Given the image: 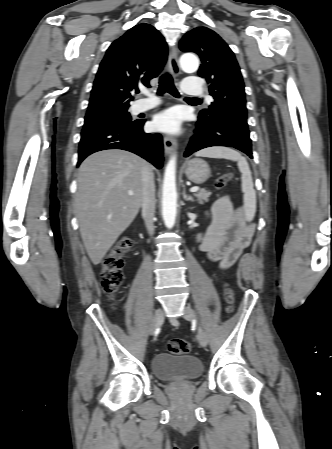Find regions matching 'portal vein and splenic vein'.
Listing matches in <instances>:
<instances>
[{
	"instance_id": "18ae733b",
	"label": "portal vein and splenic vein",
	"mask_w": 332,
	"mask_h": 449,
	"mask_svg": "<svg viewBox=\"0 0 332 449\" xmlns=\"http://www.w3.org/2000/svg\"><path fill=\"white\" fill-rule=\"evenodd\" d=\"M198 190H199V187H192V188L190 189V192H197ZM128 194H129L130 196H132V195H133V192L129 191Z\"/></svg>"
}]
</instances>
